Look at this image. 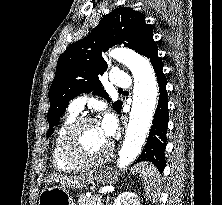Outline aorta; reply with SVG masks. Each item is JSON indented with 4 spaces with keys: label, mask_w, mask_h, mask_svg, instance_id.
<instances>
[{
    "label": "aorta",
    "mask_w": 222,
    "mask_h": 205,
    "mask_svg": "<svg viewBox=\"0 0 222 205\" xmlns=\"http://www.w3.org/2000/svg\"><path fill=\"white\" fill-rule=\"evenodd\" d=\"M111 57L126 65L134 76L133 102L117 167L130 165L141 154L151 127L158 100V84L150 62L127 48H116Z\"/></svg>",
    "instance_id": "1"
}]
</instances>
